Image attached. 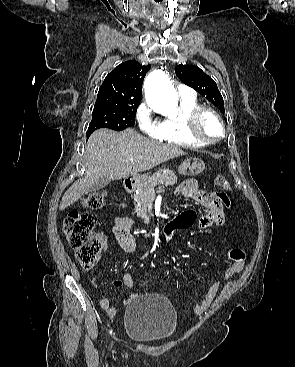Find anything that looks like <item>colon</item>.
Returning <instances> with one entry per match:
<instances>
[{
    "label": "colon",
    "mask_w": 295,
    "mask_h": 367,
    "mask_svg": "<svg viewBox=\"0 0 295 367\" xmlns=\"http://www.w3.org/2000/svg\"><path fill=\"white\" fill-rule=\"evenodd\" d=\"M215 184L222 190L220 197L223 206L229 205L226 191L230 190L228 179L224 175H219L214 180ZM214 196L219 194L217 189L212 191ZM105 194L102 192H93L83 198L82 203L89 208H99L103 206ZM96 217L93 213L87 211L71 210L66 216L63 224V231L68 240L70 247L75 251L77 260L85 269L93 268L99 258L102 248L101 242L94 235L93 230L96 226ZM194 222V213L186 211L177 219H169L168 223L162 224V232L159 237V245L167 246L172 237V230L186 231ZM229 256L233 263L243 264L245 262L246 253L241 248H233L229 252Z\"/></svg>",
    "instance_id": "colon-1"
}]
</instances>
